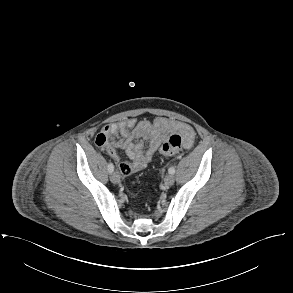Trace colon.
I'll list each match as a JSON object with an SVG mask.
<instances>
[{"instance_id":"5ec220e1","label":"colon","mask_w":293,"mask_h":293,"mask_svg":"<svg viewBox=\"0 0 293 293\" xmlns=\"http://www.w3.org/2000/svg\"><path fill=\"white\" fill-rule=\"evenodd\" d=\"M184 149V141L181 135H171L159 148V152L166 156L175 155L181 153ZM151 187H154L151 184Z\"/></svg>"}]
</instances>
